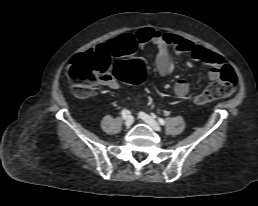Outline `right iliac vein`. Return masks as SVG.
<instances>
[{
	"label": "right iliac vein",
	"mask_w": 258,
	"mask_h": 206,
	"mask_svg": "<svg viewBox=\"0 0 258 206\" xmlns=\"http://www.w3.org/2000/svg\"><path fill=\"white\" fill-rule=\"evenodd\" d=\"M134 122V118L131 115H128L125 119V126L130 127Z\"/></svg>",
	"instance_id": "1"
}]
</instances>
